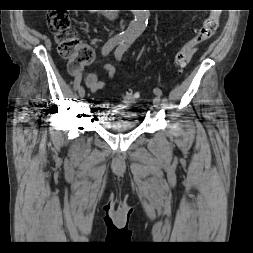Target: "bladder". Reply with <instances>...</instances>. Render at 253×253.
I'll return each mask as SVG.
<instances>
[{"label":"bladder","instance_id":"obj_1","mask_svg":"<svg viewBox=\"0 0 253 253\" xmlns=\"http://www.w3.org/2000/svg\"><path fill=\"white\" fill-rule=\"evenodd\" d=\"M118 111H102L99 121L101 126L113 132H127L135 130L139 123L130 113L127 107L118 106Z\"/></svg>","mask_w":253,"mask_h":253}]
</instances>
